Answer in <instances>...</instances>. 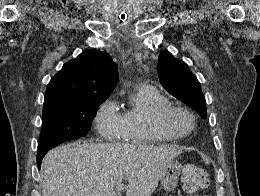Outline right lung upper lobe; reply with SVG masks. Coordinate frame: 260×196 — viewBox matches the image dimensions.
Listing matches in <instances>:
<instances>
[{
	"instance_id": "cb5924a9",
	"label": "right lung upper lobe",
	"mask_w": 260,
	"mask_h": 196,
	"mask_svg": "<svg viewBox=\"0 0 260 196\" xmlns=\"http://www.w3.org/2000/svg\"><path fill=\"white\" fill-rule=\"evenodd\" d=\"M118 80V70L110 55L87 50L65 63L51 79L45 93L44 106L106 99Z\"/></svg>"
}]
</instances>
